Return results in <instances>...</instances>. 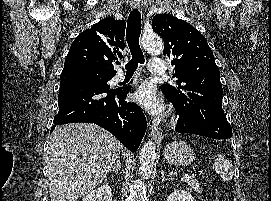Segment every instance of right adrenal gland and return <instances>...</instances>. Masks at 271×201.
<instances>
[{
	"label": "right adrenal gland",
	"mask_w": 271,
	"mask_h": 201,
	"mask_svg": "<svg viewBox=\"0 0 271 201\" xmlns=\"http://www.w3.org/2000/svg\"><path fill=\"white\" fill-rule=\"evenodd\" d=\"M120 169H121V161H120V159H117L115 164L112 167V170H110L108 173L114 172L115 174H118Z\"/></svg>",
	"instance_id": "2a0ac1e0"
}]
</instances>
